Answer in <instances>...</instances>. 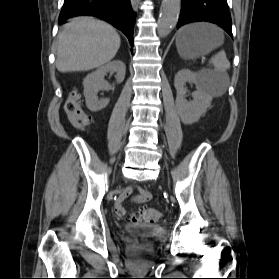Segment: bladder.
Wrapping results in <instances>:
<instances>
[{
    "mask_svg": "<svg viewBox=\"0 0 279 279\" xmlns=\"http://www.w3.org/2000/svg\"><path fill=\"white\" fill-rule=\"evenodd\" d=\"M126 232L148 237H161L165 231L160 225L129 224L125 227Z\"/></svg>",
    "mask_w": 279,
    "mask_h": 279,
    "instance_id": "31cf9c89",
    "label": "bladder"
}]
</instances>
